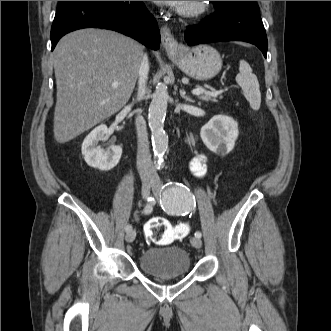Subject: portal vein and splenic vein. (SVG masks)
Segmentation results:
<instances>
[{"mask_svg": "<svg viewBox=\"0 0 331 331\" xmlns=\"http://www.w3.org/2000/svg\"><path fill=\"white\" fill-rule=\"evenodd\" d=\"M112 87H113V88H117V87H118V83L114 82V83L112 84ZM221 92H222V91L207 92V91H205V90L202 89V88H197V89H194V90L192 91V94H194V95H201V94H203V93H206V94H209V95H211V96H217V95L220 94Z\"/></svg>", "mask_w": 331, "mask_h": 331, "instance_id": "1", "label": "portal vein and splenic vein"}]
</instances>
